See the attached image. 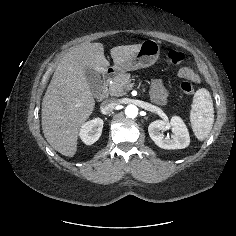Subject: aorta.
Returning <instances> with one entry per match:
<instances>
[{
	"label": "aorta",
	"mask_w": 236,
	"mask_h": 236,
	"mask_svg": "<svg viewBox=\"0 0 236 236\" xmlns=\"http://www.w3.org/2000/svg\"><path fill=\"white\" fill-rule=\"evenodd\" d=\"M125 114L129 118H135L138 115V108L135 105H128L125 108Z\"/></svg>",
	"instance_id": "1"
}]
</instances>
